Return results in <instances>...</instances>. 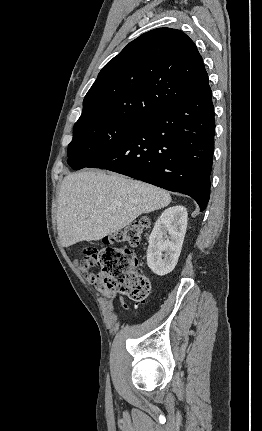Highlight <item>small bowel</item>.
I'll return each mask as SVG.
<instances>
[{"label": "small bowel", "instance_id": "obj_1", "mask_svg": "<svg viewBox=\"0 0 262 431\" xmlns=\"http://www.w3.org/2000/svg\"><path fill=\"white\" fill-rule=\"evenodd\" d=\"M87 281L93 285L96 286L97 290L100 292V294L112 301H116L117 299H120L119 295L116 292L110 291L106 288H104L101 284L94 281L92 276L90 274L86 275Z\"/></svg>", "mask_w": 262, "mask_h": 431}]
</instances>
